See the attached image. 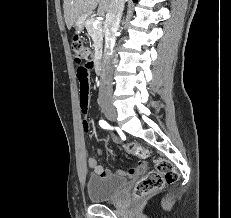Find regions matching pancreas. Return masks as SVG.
I'll return each instance as SVG.
<instances>
[{
	"instance_id": "cf45deb5",
	"label": "pancreas",
	"mask_w": 231,
	"mask_h": 218,
	"mask_svg": "<svg viewBox=\"0 0 231 218\" xmlns=\"http://www.w3.org/2000/svg\"><path fill=\"white\" fill-rule=\"evenodd\" d=\"M95 19L93 17H89L85 21V27L87 29L88 34L91 36L94 42V47L96 52H100L102 49V41H103V27L102 25H98V27H93V22Z\"/></svg>"
}]
</instances>
